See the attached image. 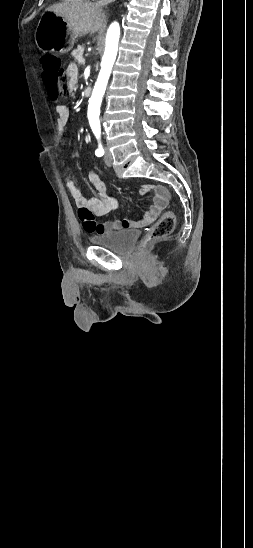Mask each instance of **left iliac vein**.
Returning a JSON list of instances; mask_svg holds the SVG:
<instances>
[{"mask_svg": "<svg viewBox=\"0 0 253 548\" xmlns=\"http://www.w3.org/2000/svg\"><path fill=\"white\" fill-rule=\"evenodd\" d=\"M104 162L108 166L112 165V154L107 147L105 148Z\"/></svg>", "mask_w": 253, "mask_h": 548, "instance_id": "4c4485c4", "label": "left iliac vein"}]
</instances>
